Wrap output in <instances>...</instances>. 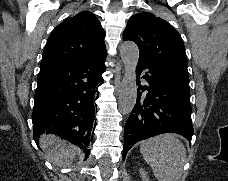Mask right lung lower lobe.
I'll return each instance as SVG.
<instances>
[{
  "instance_id": "right-lung-lower-lobe-1",
  "label": "right lung lower lobe",
  "mask_w": 228,
  "mask_h": 181,
  "mask_svg": "<svg viewBox=\"0 0 228 181\" xmlns=\"http://www.w3.org/2000/svg\"><path fill=\"white\" fill-rule=\"evenodd\" d=\"M105 57L86 58L39 72L32 113L36 141L44 131L53 133L79 146L87 157Z\"/></svg>"
}]
</instances>
